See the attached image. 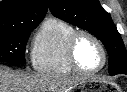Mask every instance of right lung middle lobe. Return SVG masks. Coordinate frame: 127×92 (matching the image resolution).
<instances>
[{
	"label": "right lung middle lobe",
	"mask_w": 127,
	"mask_h": 92,
	"mask_svg": "<svg viewBox=\"0 0 127 92\" xmlns=\"http://www.w3.org/2000/svg\"><path fill=\"white\" fill-rule=\"evenodd\" d=\"M36 26L0 31V62L25 63L26 43Z\"/></svg>",
	"instance_id": "right-lung-middle-lobe-1"
}]
</instances>
